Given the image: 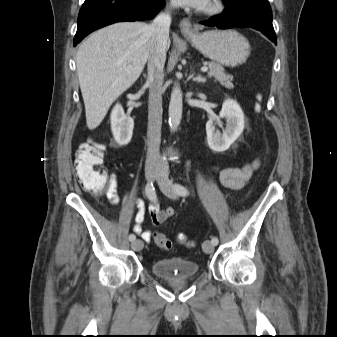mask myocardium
<instances>
[{
	"mask_svg": "<svg viewBox=\"0 0 337 337\" xmlns=\"http://www.w3.org/2000/svg\"><path fill=\"white\" fill-rule=\"evenodd\" d=\"M225 6L222 0H211L209 4L203 9V13L207 15H217L224 10Z\"/></svg>",
	"mask_w": 337,
	"mask_h": 337,
	"instance_id": "myocardium-1",
	"label": "myocardium"
}]
</instances>
